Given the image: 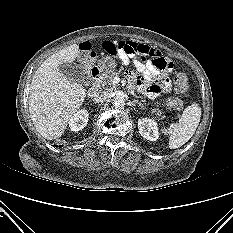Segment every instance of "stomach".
Listing matches in <instances>:
<instances>
[{"label": "stomach", "mask_w": 233, "mask_h": 233, "mask_svg": "<svg viewBox=\"0 0 233 233\" xmlns=\"http://www.w3.org/2000/svg\"><path fill=\"white\" fill-rule=\"evenodd\" d=\"M97 67L105 74H109L116 68V61L111 57H107L98 61Z\"/></svg>", "instance_id": "0dacf381"}]
</instances>
